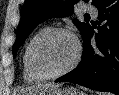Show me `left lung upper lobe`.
Returning a JSON list of instances; mask_svg holds the SVG:
<instances>
[{
  "label": "left lung upper lobe",
  "instance_id": "obj_1",
  "mask_svg": "<svg viewBox=\"0 0 119 95\" xmlns=\"http://www.w3.org/2000/svg\"><path fill=\"white\" fill-rule=\"evenodd\" d=\"M84 1H91L92 5L98 7L104 0ZM77 2L79 0H26L21 12L16 41L13 45L14 58L19 47L36 26L49 18L70 16L74 12V4ZM73 22L84 36L90 25L77 19H74Z\"/></svg>",
  "mask_w": 119,
  "mask_h": 95
}]
</instances>
